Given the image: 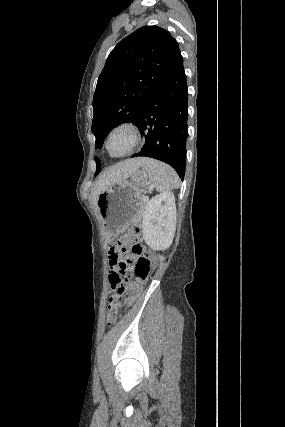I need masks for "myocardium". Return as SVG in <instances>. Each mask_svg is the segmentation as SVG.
<instances>
[{
	"label": "myocardium",
	"mask_w": 285,
	"mask_h": 427,
	"mask_svg": "<svg viewBox=\"0 0 285 427\" xmlns=\"http://www.w3.org/2000/svg\"><path fill=\"white\" fill-rule=\"evenodd\" d=\"M119 130H127L131 134L132 145L127 151L123 153H113L109 148V140L111 136ZM140 142H141V132L139 127L132 122H121L113 126L107 133L105 138V148L111 156L124 157L131 154L136 149V147L140 144Z\"/></svg>",
	"instance_id": "myocardium-1"
}]
</instances>
